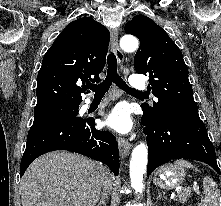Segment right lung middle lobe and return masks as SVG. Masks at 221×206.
I'll list each match as a JSON object with an SVG mask.
<instances>
[{
    "label": "right lung middle lobe",
    "mask_w": 221,
    "mask_h": 206,
    "mask_svg": "<svg viewBox=\"0 0 221 206\" xmlns=\"http://www.w3.org/2000/svg\"><path fill=\"white\" fill-rule=\"evenodd\" d=\"M78 109L79 104L35 107L34 123L53 118L75 117L78 114Z\"/></svg>",
    "instance_id": "right-lung-middle-lobe-1"
}]
</instances>
